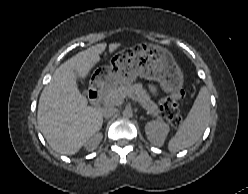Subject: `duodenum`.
Wrapping results in <instances>:
<instances>
[{"mask_svg": "<svg viewBox=\"0 0 248 194\" xmlns=\"http://www.w3.org/2000/svg\"><path fill=\"white\" fill-rule=\"evenodd\" d=\"M102 97V90L100 86L94 85L88 91V98L90 102L94 105L100 102Z\"/></svg>", "mask_w": 248, "mask_h": 194, "instance_id": "duodenum-1", "label": "duodenum"}]
</instances>
